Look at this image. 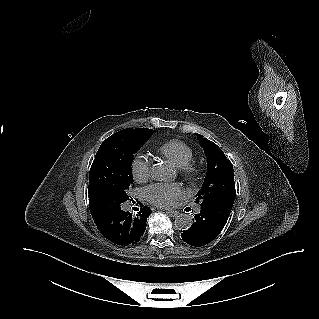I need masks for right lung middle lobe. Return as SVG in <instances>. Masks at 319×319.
Wrapping results in <instances>:
<instances>
[{"label":"right lung middle lobe","instance_id":"right-lung-middle-lobe-1","mask_svg":"<svg viewBox=\"0 0 319 319\" xmlns=\"http://www.w3.org/2000/svg\"><path fill=\"white\" fill-rule=\"evenodd\" d=\"M153 134L149 129L143 136L121 130L103 141L90 169L89 199L110 198L129 200L128 189L133 182V155Z\"/></svg>","mask_w":319,"mask_h":319}]
</instances>
